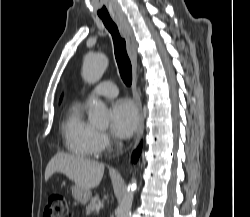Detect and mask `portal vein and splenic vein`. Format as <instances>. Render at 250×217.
Wrapping results in <instances>:
<instances>
[{
	"instance_id": "obj_1",
	"label": "portal vein and splenic vein",
	"mask_w": 250,
	"mask_h": 217,
	"mask_svg": "<svg viewBox=\"0 0 250 217\" xmlns=\"http://www.w3.org/2000/svg\"><path fill=\"white\" fill-rule=\"evenodd\" d=\"M96 210H97V211L100 210V206H99V205L96 206Z\"/></svg>"
}]
</instances>
